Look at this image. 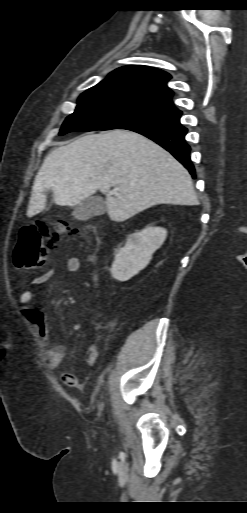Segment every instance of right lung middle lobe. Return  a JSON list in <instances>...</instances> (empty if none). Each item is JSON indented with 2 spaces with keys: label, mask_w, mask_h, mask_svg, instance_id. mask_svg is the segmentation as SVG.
<instances>
[{
  "label": "right lung middle lobe",
  "mask_w": 247,
  "mask_h": 513,
  "mask_svg": "<svg viewBox=\"0 0 247 513\" xmlns=\"http://www.w3.org/2000/svg\"><path fill=\"white\" fill-rule=\"evenodd\" d=\"M174 111L153 104L138 94L112 88H93L82 93L75 112L64 121L59 135L73 131L120 129L138 120Z\"/></svg>",
  "instance_id": "dd1d6c3e"
}]
</instances>
